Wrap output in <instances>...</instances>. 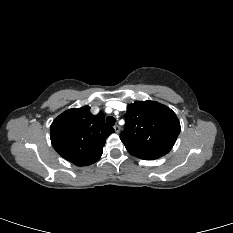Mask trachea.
<instances>
[{
  "instance_id": "3493384b",
  "label": "trachea",
  "mask_w": 233,
  "mask_h": 233,
  "mask_svg": "<svg viewBox=\"0 0 233 233\" xmlns=\"http://www.w3.org/2000/svg\"><path fill=\"white\" fill-rule=\"evenodd\" d=\"M115 121H116L115 118L112 117V116H109V117L106 118V123H107V125H109V126H114Z\"/></svg>"
}]
</instances>
